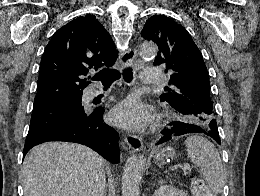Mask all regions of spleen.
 <instances>
[{
  "label": "spleen",
  "mask_w": 260,
  "mask_h": 196,
  "mask_svg": "<svg viewBox=\"0 0 260 196\" xmlns=\"http://www.w3.org/2000/svg\"><path fill=\"white\" fill-rule=\"evenodd\" d=\"M185 146L190 162L201 168L208 188L213 194H221L225 176L217 148L202 136H188L185 140Z\"/></svg>",
  "instance_id": "obj_1"
}]
</instances>
